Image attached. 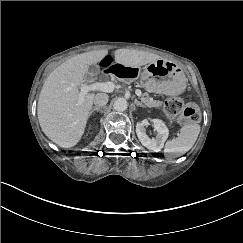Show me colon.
Returning <instances> with one entry per match:
<instances>
[{"label":"colon","instance_id":"1","mask_svg":"<svg viewBox=\"0 0 243 243\" xmlns=\"http://www.w3.org/2000/svg\"><path fill=\"white\" fill-rule=\"evenodd\" d=\"M164 112L170 118H178L181 124L196 123L200 120V110L194 103L185 105L180 97L169 98L164 104Z\"/></svg>","mask_w":243,"mask_h":243}]
</instances>
